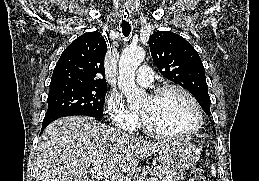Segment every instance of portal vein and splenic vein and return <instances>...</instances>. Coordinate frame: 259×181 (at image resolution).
<instances>
[{
	"mask_svg": "<svg viewBox=\"0 0 259 181\" xmlns=\"http://www.w3.org/2000/svg\"><path fill=\"white\" fill-rule=\"evenodd\" d=\"M92 174H95L97 176L109 178L112 175V178L115 179L116 181H131V179L127 176H122L119 179H116L114 175L111 173L110 169L104 167V168H98V169H91L89 171ZM147 181H157L156 178H148Z\"/></svg>",
	"mask_w": 259,
	"mask_h": 181,
	"instance_id": "1",
	"label": "portal vein and splenic vein"
}]
</instances>
